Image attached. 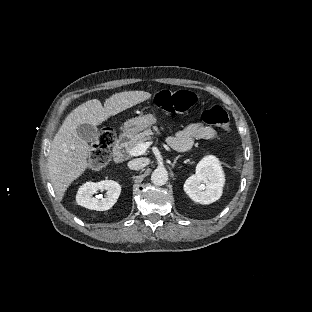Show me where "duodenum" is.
Masks as SVG:
<instances>
[{"label":"duodenum","mask_w":312,"mask_h":312,"mask_svg":"<svg viewBox=\"0 0 312 312\" xmlns=\"http://www.w3.org/2000/svg\"><path fill=\"white\" fill-rule=\"evenodd\" d=\"M131 139V134L124 132L117 138L113 147V159L116 163H122L126 158V147Z\"/></svg>","instance_id":"1"}]
</instances>
